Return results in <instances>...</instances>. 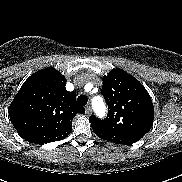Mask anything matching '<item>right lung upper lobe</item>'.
<instances>
[{
	"label": "right lung upper lobe",
	"instance_id": "1",
	"mask_svg": "<svg viewBox=\"0 0 182 182\" xmlns=\"http://www.w3.org/2000/svg\"><path fill=\"white\" fill-rule=\"evenodd\" d=\"M65 86V76L52 68L37 71L24 82L9 107L10 120L23 139L43 144L70 134L73 118L85 109L76 105L75 93Z\"/></svg>",
	"mask_w": 182,
	"mask_h": 182
}]
</instances>
